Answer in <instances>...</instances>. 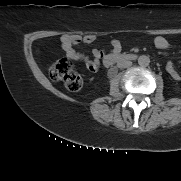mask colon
Returning <instances> with one entry per match:
<instances>
[{
    "instance_id": "colon-1",
    "label": "colon",
    "mask_w": 181,
    "mask_h": 181,
    "mask_svg": "<svg viewBox=\"0 0 181 181\" xmlns=\"http://www.w3.org/2000/svg\"><path fill=\"white\" fill-rule=\"evenodd\" d=\"M49 75L54 81L61 82L70 91H78L82 87L81 76L66 58L53 62L49 66Z\"/></svg>"
}]
</instances>
